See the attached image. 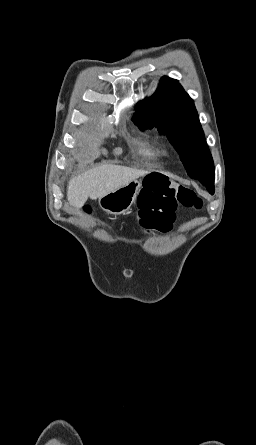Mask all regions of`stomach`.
<instances>
[{
    "label": "stomach",
    "instance_id": "1",
    "mask_svg": "<svg viewBox=\"0 0 256 445\" xmlns=\"http://www.w3.org/2000/svg\"><path fill=\"white\" fill-rule=\"evenodd\" d=\"M142 181L133 180L99 198L100 207L109 214L120 215L126 213L142 188Z\"/></svg>",
    "mask_w": 256,
    "mask_h": 445
}]
</instances>
